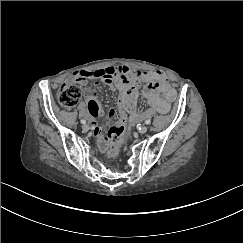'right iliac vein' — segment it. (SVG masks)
Returning a JSON list of instances; mask_svg holds the SVG:
<instances>
[{"label":"right iliac vein","instance_id":"right-iliac-vein-1","mask_svg":"<svg viewBox=\"0 0 243 243\" xmlns=\"http://www.w3.org/2000/svg\"><path fill=\"white\" fill-rule=\"evenodd\" d=\"M82 128H83V130L88 131L89 130V125L88 124H84L82 126Z\"/></svg>","mask_w":243,"mask_h":243}]
</instances>
